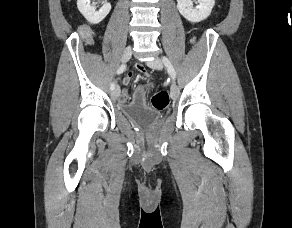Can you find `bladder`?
<instances>
[{"label":"bladder","instance_id":"obj_1","mask_svg":"<svg viewBox=\"0 0 292 228\" xmlns=\"http://www.w3.org/2000/svg\"><path fill=\"white\" fill-rule=\"evenodd\" d=\"M123 116L139 126H149L160 118V112L147 106L125 105L121 110Z\"/></svg>","mask_w":292,"mask_h":228}]
</instances>
